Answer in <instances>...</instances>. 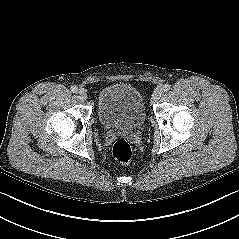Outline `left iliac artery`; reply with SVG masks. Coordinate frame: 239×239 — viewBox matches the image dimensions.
<instances>
[{"label":"left iliac artery","mask_w":239,"mask_h":239,"mask_svg":"<svg viewBox=\"0 0 239 239\" xmlns=\"http://www.w3.org/2000/svg\"><path fill=\"white\" fill-rule=\"evenodd\" d=\"M170 87L171 86L169 84H165L163 85V90L167 92L170 89Z\"/></svg>","instance_id":"obj_1"}]
</instances>
